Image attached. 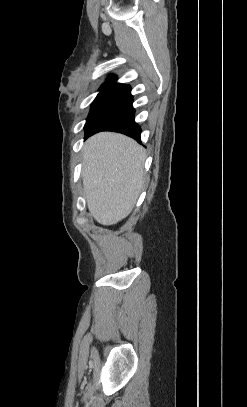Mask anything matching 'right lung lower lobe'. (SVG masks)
I'll return each mask as SVG.
<instances>
[{
  "mask_svg": "<svg viewBox=\"0 0 247 407\" xmlns=\"http://www.w3.org/2000/svg\"><path fill=\"white\" fill-rule=\"evenodd\" d=\"M134 115L135 110L132 106V101H130L107 116L95 129L89 132L85 138L101 131H114L141 141V128L135 122Z\"/></svg>",
  "mask_w": 247,
  "mask_h": 407,
  "instance_id": "right-lung-lower-lobe-1",
  "label": "right lung lower lobe"
}]
</instances>
